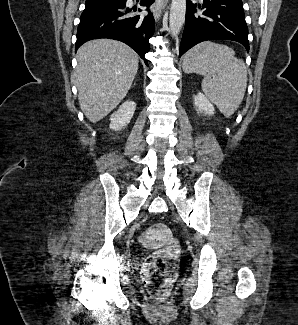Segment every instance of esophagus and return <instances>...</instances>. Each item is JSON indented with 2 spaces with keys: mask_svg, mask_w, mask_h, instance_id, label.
<instances>
[{
  "mask_svg": "<svg viewBox=\"0 0 298 325\" xmlns=\"http://www.w3.org/2000/svg\"><path fill=\"white\" fill-rule=\"evenodd\" d=\"M165 7V0H157L156 5L154 6L153 14L156 20H159L161 13Z\"/></svg>",
  "mask_w": 298,
  "mask_h": 325,
  "instance_id": "34e87169",
  "label": "esophagus"
}]
</instances>
